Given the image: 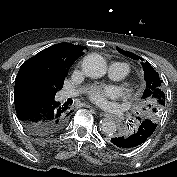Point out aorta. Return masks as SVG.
<instances>
[{"label":"aorta","mask_w":177,"mask_h":177,"mask_svg":"<svg viewBox=\"0 0 177 177\" xmlns=\"http://www.w3.org/2000/svg\"><path fill=\"white\" fill-rule=\"evenodd\" d=\"M82 71L91 78H100L106 73V61L97 54L91 53L84 57L82 61ZM100 130L105 135H113L116 131V124L110 118H105L101 124Z\"/></svg>","instance_id":"762f6f07"}]
</instances>
